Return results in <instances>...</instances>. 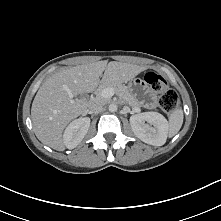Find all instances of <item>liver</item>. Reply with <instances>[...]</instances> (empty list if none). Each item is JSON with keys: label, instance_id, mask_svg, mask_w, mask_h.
I'll use <instances>...</instances> for the list:
<instances>
[{"label": "liver", "instance_id": "6515ba94", "mask_svg": "<svg viewBox=\"0 0 221 221\" xmlns=\"http://www.w3.org/2000/svg\"><path fill=\"white\" fill-rule=\"evenodd\" d=\"M144 69L129 63L98 61L53 74L41 85L32 103L31 118L36 137L52 149L64 151V128L71 120L85 114L91 104L84 98L74 99V96L93 92L99 83H126Z\"/></svg>", "mask_w": 221, "mask_h": 221}]
</instances>
